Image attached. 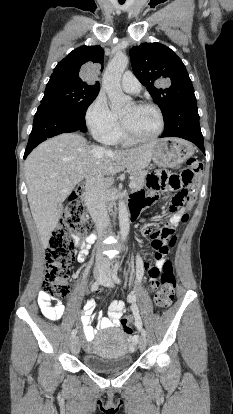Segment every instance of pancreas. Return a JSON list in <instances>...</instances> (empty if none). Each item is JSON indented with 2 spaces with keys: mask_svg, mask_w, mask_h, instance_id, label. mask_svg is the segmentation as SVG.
Segmentation results:
<instances>
[{
  "mask_svg": "<svg viewBox=\"0 0 233 414\" xmlns=\"http://www.w3.org/2000/svg\"><path fill=\"white\" fill-rule=\"evenodd\" d=\"M146 172L144 171H132L130 173V180L131 183H134V190L140 189L144 185V179H145Z\"/></svg>",
  "mask_w": 233,
  "mask_h": 414,
  "instance_id": "1",
  "label": "pancreas"
}]
</instances>
